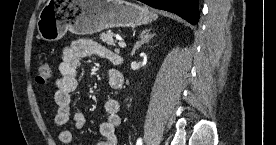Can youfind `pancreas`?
I'll return each mask as SVG.
<instances>
[{"label":"pancreas","mask_w":276,"mask_h":145,"mask_svg":"<svg viewBox=\"0 0 276 145\" xmlns=\"http://www.w3.org/2000/svg\"><path fill=\"white\" fill-rule=\"evenodd\" d=\"M114 36V33L111 30H108L106 33L100 34V39L109 46H115Z\"/></svg>","instance_id":"pancreas-1"}]
</instances>
